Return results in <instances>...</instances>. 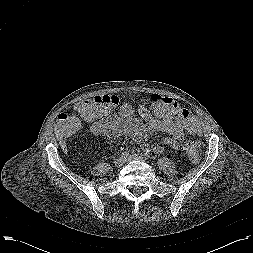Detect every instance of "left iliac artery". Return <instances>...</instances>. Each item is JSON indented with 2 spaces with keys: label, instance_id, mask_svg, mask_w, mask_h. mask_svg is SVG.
I'll return each instance as SVG.
<instances>
[{
  "label": "left iliac artery",
  "instance_id": "obj_1",
  "mask_svg": "<svg viewBox=\"0 0 253 253\" xmlns=\"http://www.w3.org/2000/svg\"><path fill=\"white\" fill-rule=\"evenodd\" d=\"M142 158H145V157H147L148 155L145 153V154H141L140 155Z\"/></svg>",
  "mask_w": 253,
  "mask_h": 253
}]
</instances>
